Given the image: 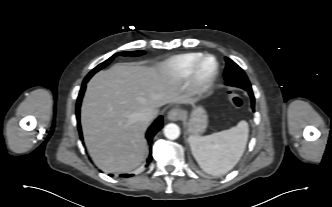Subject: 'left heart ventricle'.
<instances>
[{
	"mask_svg": "<svg viewBox=\"0 0 332 207\" xmlns=\"http://www.w3.org/2000/svg\"><path fill=\"white\" fill-rule=\"evenodd\" d=\"M213 61L211 59H207L203 62L201 66V74L206 76L208 75L213 69Z\"/></svg>",
	"mask_w": 332,
	"mask_h": 207,
	"instance_id": "left-heart-ventricle-1",
	"label": "left heart ventricle"
}]
</instances>
